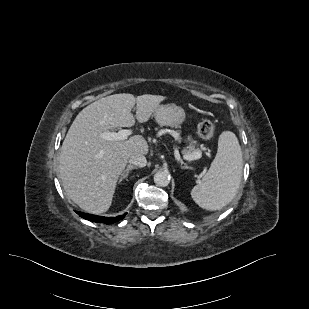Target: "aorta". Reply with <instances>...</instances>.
<instances>
[{"instance_id": "762f6f07", "label": "aorta", "mask_w": 309, "mask_h": 309, "mask_svg": "<svg viewBox=\"0 0 309 309\" xmlns=\"http://www.w3.org/2000/svg\"><path fill=\"white\" fill-rule=\"evenodd\" d=\"M154 182L157 186L166 187L170 183V175L166 171H158L154 175Z\"/></svg>"}]
</instances>
